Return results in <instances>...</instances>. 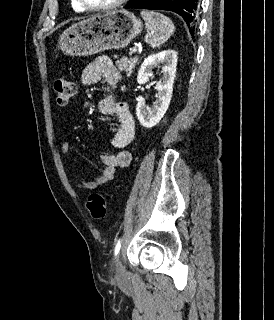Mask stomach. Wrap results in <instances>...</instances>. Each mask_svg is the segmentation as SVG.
Segmentation results:
<instances>
[{
	"instance_id": "0dacf381",
	"label": "stomach",
	"mask_w": 274,
	"mask_h": 320,
	"mask_svg": "<svg viewBox=\"0 0 274 320\" xmlns=\"http://www.w3.org/2000/svg\"><path fill=\"white\" fill-rule=\"evenodd\" d=\"M142 30L141 20L127 10L95 14L65 30L59 38V48L66 56H93L105 50H121Z\"/></svg>"
}]
</instances>
